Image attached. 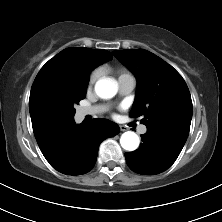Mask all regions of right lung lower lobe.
I'll use <instances>...</instances> for the list:
<instances>
[{"label": "right lung lower lobe", "mask_w": 222, "mask_h": 222, "mask_svg": "<svg viewBox=\"0 0 222 222\" xmlns=\"http://www.w3.org/2000/svg\"><path fill=\"white\" fill-rule=\"evenodd\" d=\"M120 128L106 119L76 124L74 118L59 119L38 140L46 160L66 175H82L95 165L100 143L117 135Z\"/></svg>", "instance_id": "right-lung-lower-lobe-1"}]
</instances>
